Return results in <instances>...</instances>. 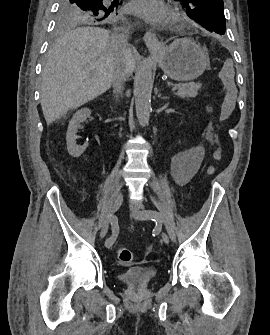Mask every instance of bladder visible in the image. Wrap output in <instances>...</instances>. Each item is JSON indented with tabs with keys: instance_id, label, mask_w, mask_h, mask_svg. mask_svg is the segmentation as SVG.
<instances>
[{
	"instance_id": "bladder-1",
	"label": "bladder",
	"mask_w": 270,
	"mask_h": 335,
	"mask_svg": "<svg viewBox=\"0 0 270 335\" xmlns=\"http://www.w3.org/2000/svg\"><path fill=\"white\" fill-rule=\"evenodd\" d=\"M152 276L148 268H131L121 273L119 278L129 286L141 287L146 286Z\"/></svg>"
}]
</instances>
